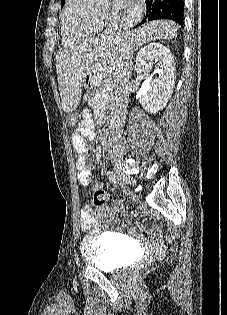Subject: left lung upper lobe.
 I'll use <instances>...</instances> for the list:
<instances>
[{"label":"left lung upper lobe","instance_id":"obj_1","mask_svg":"<svg viewBox=\"0 0 227 315\" xmlns=\"http://www.w3.org/2000/svg\"><path fill=\"white\" fill-rule=\"evenodd\" d=\"M64 4V0H61V5H63Z\"/></svg>","mask_w":227,"mask_h":315}]
</instances>
